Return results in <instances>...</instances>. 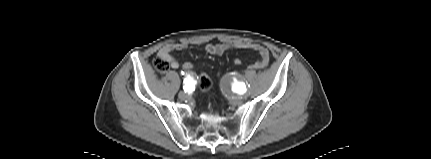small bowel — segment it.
<instances>
[{
  "instance_id": "c3829d8e",
  "label": "small bowel",
  "mask_w": 431,
  "mask_h": 159,
  "mask_svg": "<svg viewBox=\"0 0 431 159\" xmlns=\"http://www.w3.org/2000/svg\"><path fill=\"white\" fill-rule=\"evenodd\" d=\"M187 47L184 43H172L163 46L157 54L158 58L164 59L173 69L180 67V62L171 55L173 51L183 50ZM250 49L259 53L260 59L251 65L252 69L259 70L265 68L269 63V52L268 50L259 44L249 42H236V43H219V44H208L206 46V52L210 55H221L228 49ZM183 68V65H182Z\"/></svg>"
}]
</instances>
